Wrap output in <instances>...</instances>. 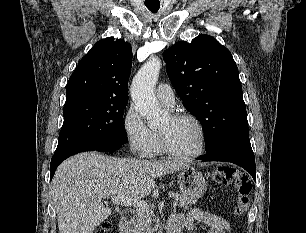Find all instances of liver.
Instances as JSON below:
<instances>
[{"label": "liver", "mask_w": 306, "mask_h": 233, "mask_svg": "<svg viewBox=\"0 0 306 233\" xmlns=\"http://www.w3.org/2000/svg\"><path fill=\"white\" fill-rule=\"evenodd\" d=\"M186 167L180 160L154 162L97 152L72 156L59 165L51 182L59 233H93L111 214L103 197L144 198L153 190L156 177Z\"/></svg>", "instance_id": "6515ba94"}]
</instances>
